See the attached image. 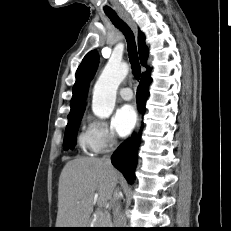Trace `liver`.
<instances>
[{
  "instance_id": "1",
  "label": "liver",
  "mask_w": 231,
  "mask_h": 231,
  "mask_svg": "<svg viewBox=\"0 0 231 231\" xmlns=\"http://www.w3.org/2000/svg\"><path fill=\"white\" fill-rule=\"evenodd\" d=\"M119 173L102 159L78 157L68 161L59 177L56 228H87L94 195L105 206L112 199Z\"/></svg>"
}]
</instances>
